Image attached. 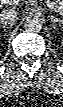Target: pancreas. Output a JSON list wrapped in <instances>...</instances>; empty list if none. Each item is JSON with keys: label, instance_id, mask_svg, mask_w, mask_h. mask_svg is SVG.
<instances>
[{"label": "pancreas", "instance_id": "1", "mask_svg": "<svg viewBox=\"0 0 63 107\" xmlns=\"http://www.w3.org/2000/svg\"><path fill=\"white\" fill-rule=\"evenodd\" d=\"M53 4L55 5V7L57 8H63V1L62 0H52Z\"/></svg>", "mask_w": 63, "mask_h": 107}]
</instances>
